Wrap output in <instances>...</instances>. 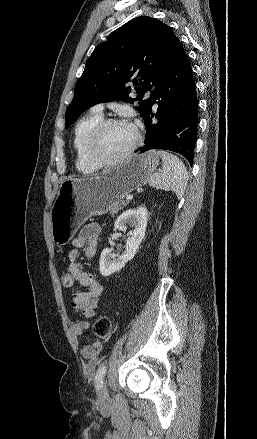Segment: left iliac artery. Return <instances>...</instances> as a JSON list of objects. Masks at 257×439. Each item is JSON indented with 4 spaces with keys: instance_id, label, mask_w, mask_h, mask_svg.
Segmentation results:
<instances>
[{
    "instance_id": "obj_1",
    "label": "left iliac artery",
    "mask_w": 257,
    "mask_h": 439,
    "mask_svg": "<svg viewBox=\"0 0 257 439\" xmlns=\"http://www.w3.org/2000/svg\"><path fill=\"white\" fill-rule=\"evenodd\" d=\"M107 367L105 365L98 368L95 375V387L99 390L103 384V378L106 374Z\"/></svg>"
}]
</instances>
